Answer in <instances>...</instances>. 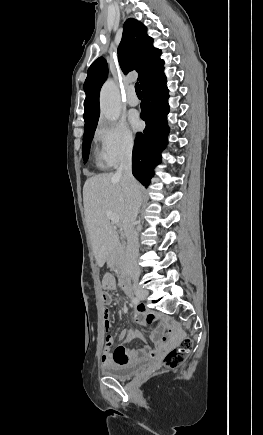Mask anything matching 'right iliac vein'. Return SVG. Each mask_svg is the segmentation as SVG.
<instances>
[{
    "label": "right iliac vein",
    "instance_id": "1",
    "mask_svg": "<svg viewBox=\"0 0 263 435\" xmlns=\"http://www.w3.org/2000/svg\"><path fill=\"white\" fill-rule=\"evenodd\" d=\"M135 294L138 298L140 299H144L148 296V291L144 288L141 287H136L135 288Z\"/></svg>",
    "mask_w": 263,
    "mask_h": 435
}]
</instances>
